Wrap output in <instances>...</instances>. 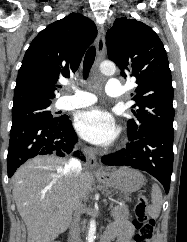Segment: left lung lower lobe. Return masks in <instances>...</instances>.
Segmentation results:
<instances>
[{
    "label": "left lung lower lobe",
    "mask_w": 187,
    "mask_h": 242,
    "mask_svg": "<svg viewBox=\"0 0 187 242\" xmlns=\"http://www.w3.org/2000/svg\"><path fill=\"white\" fill-rule=\"evenodd\" d=\"M174 133H149L144 137L130 140L126 148L105 155V165L129 166L146 171L169 191L173 166Z\"/></svg>",
    "instance_id": "1"
}]
</instances>
